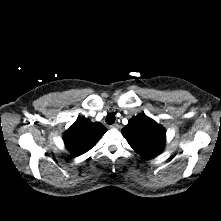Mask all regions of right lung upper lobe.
<instances>
[{
	"instance_id": "1",
	"label": "right lung upper lobe",
	"mask_w": 221,
	"mask_h": 221,
	"mask_svg": "<svg viewBox=\"0 0 221 221\" xmlns=\"http://www.w3.org/2000/svg\"><path fill=\"white\" fill-rule=\"evenodd\" d=\"M107 129L99 122L78 117L75 123L64 133L63 141L73 156H79L95 146Z\"/></svg>"
}]
</instances>
